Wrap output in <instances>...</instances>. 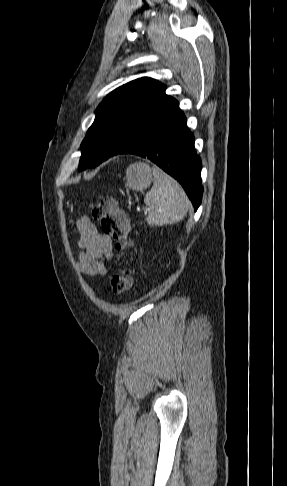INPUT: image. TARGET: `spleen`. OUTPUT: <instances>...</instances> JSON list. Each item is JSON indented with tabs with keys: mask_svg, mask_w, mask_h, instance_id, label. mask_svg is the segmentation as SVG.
Returning <instances> with one entry per match:
<instances>
[{
	"mask_svg": "<svg viewBox=\"0 0 287 486\" xmlns=\"http://www.w3.org/2000/svg\"><path fill=\"white\" fill-rule=\"evenodd\" d=\"M154 183L146 193V222L150 226L172 225L186 215L190 202L181 185L160 168H153Z\"/></svg>",
	"mask_w": 287,
	"mask_h": 486,
	"instance_id": "obj_1",
	"label": "spleen"
}]
</instances>
